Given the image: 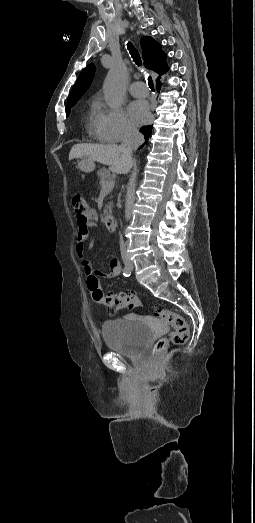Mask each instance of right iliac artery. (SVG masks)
<instances>
[{
    "label": "right iliac artery",
    "mask_w": 255,
    "mask_h": 523,
    "mask_svg": "<svg viewBox=\"0 0 255 523\" xmlns=\"http://www.w3.org/2000/svg\"><path fill=\"white\" fill-rule=\"evenodd\" d=\"M130 274H131L130 269H129L128 267H125V268L123 269V275L126 276V277H128V276H130Z\"/></svg>",
    "instance_id": "1"
}]
</instances>
